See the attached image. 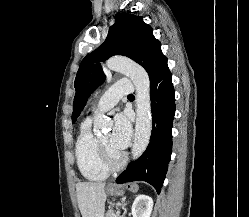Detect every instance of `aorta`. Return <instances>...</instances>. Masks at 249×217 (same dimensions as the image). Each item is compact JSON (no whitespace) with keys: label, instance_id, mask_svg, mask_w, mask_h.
Here are the masks:
<instances>
[{"label":"aorta","instance_id":"762f6f07","mask_svg":"<svg viewBox=\"0 0 249 217\" xmlns=\"http://www.w3.org/2000/svg\"><path fill=\"white\" fill-rule=\"evenodd\" d=\"M108 69L124 73L130 77L136 89V124L132 157L139 158L146 150L152 132L150 79L147 72L139 65L123 57H112L106 62ZM109 127V121L104 115L94 118L96 131Z\"/></svg>","mask_w":249,"mask_h":217}]
</instances>
